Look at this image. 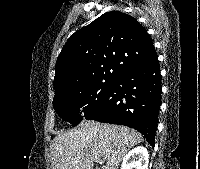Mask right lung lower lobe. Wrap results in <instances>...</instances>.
<instances>
[{
  "label": "right lung lower lobe",
  "mask_w": 200,
  "mask_h": 169,
  "mask_svg": "<svg viewBox=\"0 0 200 169\" xmlns=\"http://www.w3.org/2000/svg\"><path fill=\"white\" fill-rule=\"evenodd\" d=\"M160 104L161 74L156 59L116 78L103 105L85 119L134 128L154 147Z\"/></svg>",
  "instance_id": "1"
}]
</instances>
